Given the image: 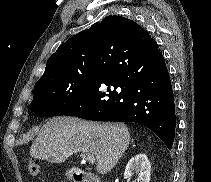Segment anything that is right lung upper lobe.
<instances>
[{
    "label": "right lung upper lobe",
    "mask_w": 211,
    "mask_h": 182,
    "mask_svg": "<svg viewBox=\"0 0 211 182\" xmlns=\"http://www.w3.org/2000/svg\"><path fill=\"white\" fill-rule=\"evenodd\" d=\"M104 34H124L126 39L136 42H144L151 38L134 21L119 16H107L101 22L93 24L90 28L62 43L48 59L45 72L37 83L94 65L99 40Z\"/></svg>",
    "instance_id": "cb5924a9"
}]
</instances>
